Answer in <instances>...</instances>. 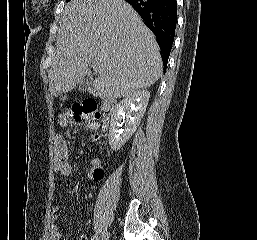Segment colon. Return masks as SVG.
Masks as SVG:
<instances>
[{
  "mask_svg": "<svg viewBox=\"0 0 257 240\" xmlns=\"http://www.w3.org/2000/svg\"><path fill=\"white\" fill-rule=\"evenodd\" d=\"M66 118L75 123L88 122L92 127H95L96 122L100 119V113L97 110L95 101L85 100L75 103L66 113ZM97 173L101 175L103 170L99 168Z\"/></svg>",
  "mask_w": 257,
  "mask_h": 240,
  "instance_id": "colon-1",
  "label": "colon"
}]
</instances>
